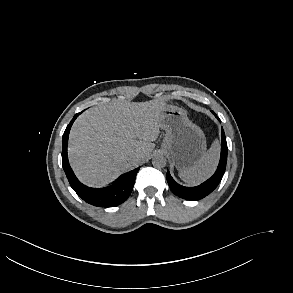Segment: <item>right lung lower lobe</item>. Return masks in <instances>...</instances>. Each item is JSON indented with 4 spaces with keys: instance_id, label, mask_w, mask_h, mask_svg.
Segmentation results:
<instances>
[{
    "instance_id": "obj_1",
    "label": "right lung lower lobe",
    "mask_w": 293,
    "mask_h": 293,
    "mask_svg": "<svg viewBox=\"0 0 293 293\" xmlns=\"http://www.w3.org/2000/svg\"><path fill=\"white\" fill-rule=\"evenodd\" d=\"M79 115L76 114L63 134L62 145V165L68 181L77 193L87 203L97 207H112L123 203L133 190L135 177L139 168H136L127 174L120 176L114 184L105 188H90L82 184L73 173L67 157V143L70 128Z\"/></svg>"
}]
</instances>
